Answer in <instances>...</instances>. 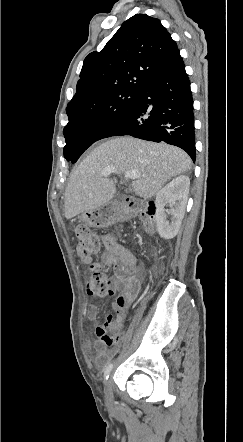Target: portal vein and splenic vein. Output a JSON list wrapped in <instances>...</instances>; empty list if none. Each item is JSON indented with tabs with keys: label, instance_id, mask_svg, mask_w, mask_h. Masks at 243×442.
Segmentation results:
<instances>
[{
	"label": "portal vein and splenic vein",
	"instance_id": "1",
	"mask_svg": "<svg viewBox=\"0 0 243 442\" xmlns=\"http://www.w3.org/2000/svg\"><path fill=\"white\" fill-rule=\"evenodd\" d=\"M111 173L119 174L117 169L112 166L105 167L102 171V175L104 177H107ZM139 176H140V173L137 170H128L125 172L126 179H137Z\"/></svg>",
	"mask_w": 243,
	"mask_h": 442
}]
</instances>
